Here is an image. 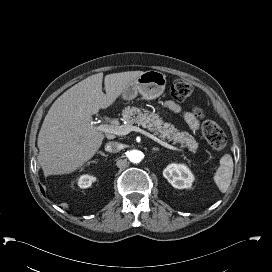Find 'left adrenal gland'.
I'll list each match as a JSON object with an SVG mask.
<instances>
[{"mask_svg":"<svg viewBox=\"0 0 272 272\" xmlns=\"http://www.w3.org/2000/svg\"><path fill=\"white\" fill-rule=\"evenodd\" d=\"M159 149L158 148H153L152 151H158Z\"/></svg>","mask_w":272,"mask_h":272,"instance_id":"left-adrenal-gland-1","label":"left adrenal gland"}]
</instances>
